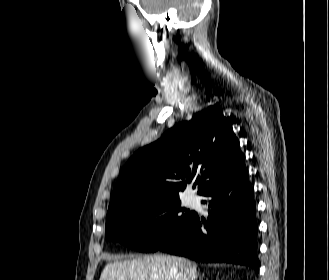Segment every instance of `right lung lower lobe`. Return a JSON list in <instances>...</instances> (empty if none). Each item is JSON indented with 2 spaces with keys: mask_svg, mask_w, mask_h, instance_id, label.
<instances>
[{
  "mask_svg": "<svg viewBox=\"0 0 329 280\" xmlns=\"http://www.w3.org/2000/svg\"><path fill=\"white\" fill-rule=\"evenodd\" d=\"M201 195L210 197L207 221L196 213L181 233L158 250L198 262L247 265L258 273L255 202L245 164L215 180Z\"/></svg>",
  "mask_w": 329,
  "mask_h": 280,
  "instance_id": "right-lung-lower-lobe-1",
  "label": "right lung lower lobe"
}]
</instances>
